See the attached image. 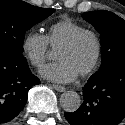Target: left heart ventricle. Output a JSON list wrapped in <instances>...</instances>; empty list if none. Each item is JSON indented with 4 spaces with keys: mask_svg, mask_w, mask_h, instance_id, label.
Masks as SVG:
<instances>
[{
    "mask_svg": "<svg viewBox=\"0 0 125 125\" xmlns=\"http://www.w3.org/2000/svg\"><path fill=\"white\" fill-rule=\"evenodd\" d=\"M96 52L95 41L92 36L84 35L69 49L56 50V58L67 62L79 75L94 59Z\"/></svg>",
    "mask_w": 125,
    "mask_h": 125,
    "instance_id": "left-heart-ventricle-1",
    "label": "left heart ventricle"
}]
</instances>
